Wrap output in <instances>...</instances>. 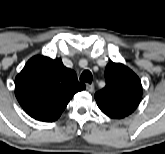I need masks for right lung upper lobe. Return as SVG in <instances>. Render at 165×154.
I'll return each instance as SVG.
<instances>
[{
	"mask_svg": "<svg viewBox=\"0 0 165 154\" xmlns=\"http://www.w3.org/2000/svg\"><path fill=\"white\" fill-rule=\"evenodd\" d=\"M76 73L60 58L34 56L15 78V95L32 118L47 121L60 115L75 93L84 90Z\"/></svg>",
	"mask_w": 165,
	"mask_h": 154,
	"instance_id": "cb5924a9",
	"label": "right lung upper lobe"
}]
</instances>
